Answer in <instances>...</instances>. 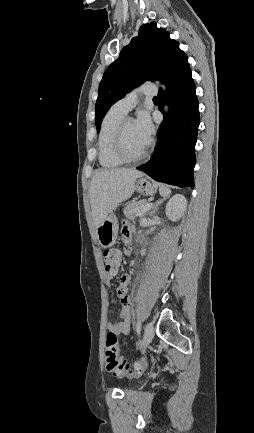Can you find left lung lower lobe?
Returning a JSON list of instances; mask_svg holds the SVG:
<instances>
[{"mask_svg": "<svg viewBox=\"0 0 254 433\" xmlns=\"http://www.w3.org/2000/svg\"><path fill=\"white\" fill-rule=\"evenodd\" d=\"M167 91L159 90V109L164 121L158 129V143L151 159L137 167L159 182L194 187L195 144L200 124L196 87L188 57L184 53L166 76ZM169 104V113L163 104Z\"/></svg>", "mask_w": 254, "mask_h": 433, "instance_id": "1", "label": "left lung lower lobe"}]
</instances>
